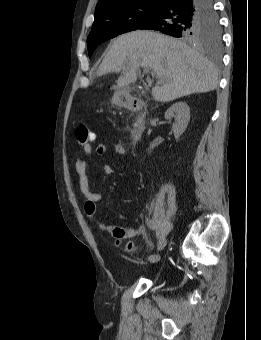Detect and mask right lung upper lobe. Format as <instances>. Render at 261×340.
Instances as JSON below:
<instances>
[{
  "label": "right lung upper lobe",
  "instance_id": "1",
  "mask_svg": "<svg viewBox=\"0 0 261 340\" xmlns=\"http://www.w3.org/2000/svg\"><path fill=\"white\" fill-rule=\"evenodd\" d=\"M138 1L147 0H99L95 9V18H98L101 14L110 9L121 7Z\"/></svg>",
  "mask_w": 261,
  "mask_h": 340
}]
</instances>
